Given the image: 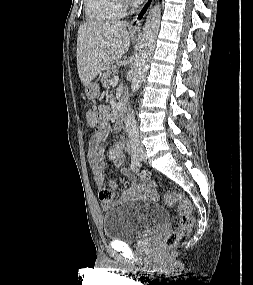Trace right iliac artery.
<instances>
[{
    "instance_id": "82829eb1",
    "label": "right iliac artery",
    "mask_w": 253,
    "mask_h": 285,
    "mask_svg": "<svg viewBox=\"0 0 253 285\" xmlns=\"http://www.w3.org/2000/svg\"><path fill=\"white\" fill-rule=\"evenodd\" d=\"M130 142H131V148H132V160H131V170L135 171L137 169V167L140 165L138 156L136 154V138L135 137H131L130 138Z\"/></svg>"
}]
</instances>
